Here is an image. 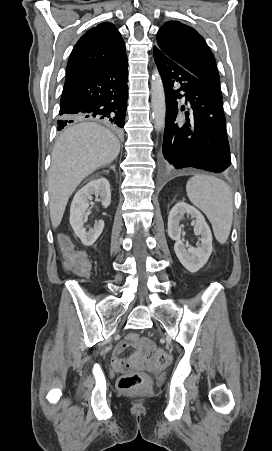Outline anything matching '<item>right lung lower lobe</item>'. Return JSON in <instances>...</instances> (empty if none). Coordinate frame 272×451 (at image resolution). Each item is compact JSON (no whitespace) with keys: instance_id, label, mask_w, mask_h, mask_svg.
<instances>
[{"instance_id":"obj_1","label":"right lung lower lobe","mask_w":272,"mask_h":451,"mask_svg":"<svg viewBox=\"0 0 272 451\" xmlns=\"http://www.w3.org/2000/svg\"><path fill=\"white\" fill-rule=\"evenodd\" d=\"M128 64L121 59L67 77L63 88L58 130L82 119L103 120L114 130L124 127L128 99Z\"/></svg>"}]
</instances>
